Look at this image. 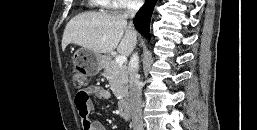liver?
<instances>
[{"instance_id": "obj_1", "label": "liver", "mask_w": 257, "mask_h": 130, "mask_svg": "<svg viewBox=\"0 0 257 130\" xmlns=\"http://www.w3.org/2000/svg\"><path fill=\"white\" fill-rule=\"evenodd\" d=\"M137 35L129 29L126 19L105 13H83L66 25L62 49L76 44L98 54L111 53L117 48L122 56H129L137 42Z\"/></svg>"}]
</instances>
